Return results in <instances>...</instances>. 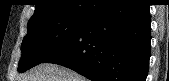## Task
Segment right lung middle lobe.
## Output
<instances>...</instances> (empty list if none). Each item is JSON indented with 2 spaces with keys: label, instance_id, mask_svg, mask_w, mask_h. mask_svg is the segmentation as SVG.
Here are the masks:
<instances>
[{
  "label": "right lung middle lobe",
  "instance_id": "1",
  "mask_svg": "<svg viewBox=\"0 0 169 81\" xmlns=\"http://www.w3.org/2000/svg\"><path fill=\"white\" fill-rule=\"evenodd\" d=\"M88 17L49 16L28 23V32L22 42V56L18 71L23 73L42 63L68 43Z\"/></svg>",
  "mask_w": 169,
  "mask_h": 81
}]
</instances>
